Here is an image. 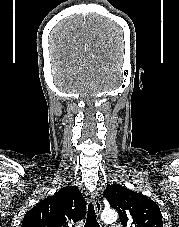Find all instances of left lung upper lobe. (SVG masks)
I'll return each mask as SVG.
<instances>
[{
  "label": "left lung upper lobe",
  "mask_w": 179,
  "mask_h": 227,
  "mask_svg": "<svg viewBox=\"0 0 179 227\" xmlns=\"http://www.w3.org/2000/svg\"><path fill=\"white\" fill-rule=\"evenodd\" d=\"M103 196L118 211L123 227H163L159 206L142 193L114 184Z\"/></svg>",
  "instance_id": "5c2ea615"
}]
</instances>
